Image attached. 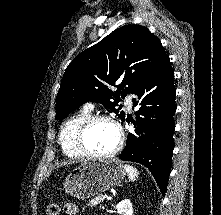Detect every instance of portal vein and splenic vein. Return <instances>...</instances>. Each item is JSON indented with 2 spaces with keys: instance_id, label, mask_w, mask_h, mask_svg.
I'll use <instances>...</instances> for the list:
<instances>
[{
  "instance_id": "18ae733b",
  "label": "portal vein and splenic vein",
  "mask_w": 221,
  "mask_h": 215,
  "mask_svg": "<svg viewBox=\"0 0 221 215\" xmlns=\"http://www.w3.org/2000/svg\"><path fill=\"white\" fill-rule=\"evenodd\" d=\"M108 196L105 194V195H102V199H106Z\"/></svg>"
}]
</instances>
